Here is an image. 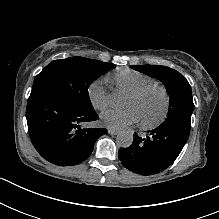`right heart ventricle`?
I'll use <instances>...</instances> for the list:
<instances>
[{
  "mask_svg": "<svg viewBox=\"0 0 219 219\" xmlns=\"http://www.w3.org/2000/svg\"><path fill=\"white\" fill-rule=\"evenodd\" d=\"M111 82L117 88L130 93L145 85L156 83V80L137 70L122 69L113 75Z\"/></svg>",
  "mask_w": 219,
  "mask_h": 219,
  "instance_id": "1",
  "label": "right heart ventricle"
}]
</instances>
